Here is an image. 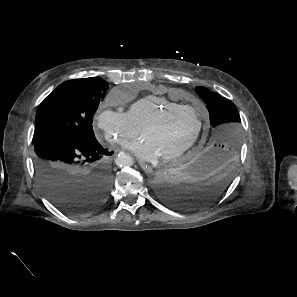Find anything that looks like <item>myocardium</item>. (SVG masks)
<instances>
[{"instance_id":"obj_1","label":"myocardium","mask_w":297,"mask_h":297,"mask_svg":"<svg viewBox=\"0 0 297 297\" xmlns=\"http://www.w3.org/2000/svg\"><path fill=\"white\" fill-rule=\"evenodd\" d=\"M180 110L194 111L197 116V127H196L193 135L189 138V140L183 146H181L180 148H178L177 150H175L173 152H170V153L162 156V160H164V161H171V160H175V159L179 158L184 153H186L192 146H194L196 144V142L198 141V139L201 135V132L203 130V126H204L203 115H201L199 108L197 106H192V105H188V104H180V105L166 107L164 109H161L157 113H155L140 128V133H141L142 130L159 123L167 115H169L173 112H176V111H180Z\"/></svg>"}]
</instances>
